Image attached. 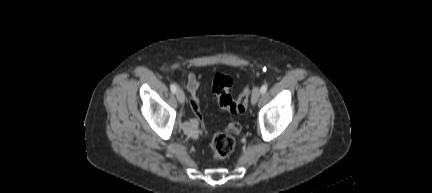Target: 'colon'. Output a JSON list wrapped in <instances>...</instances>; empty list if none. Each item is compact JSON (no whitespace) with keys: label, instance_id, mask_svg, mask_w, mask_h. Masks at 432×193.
<instances>
[{"label":"colon","instance_id":"1","mask_svg":"<svg viewBox=\"0 0 432 193\" xmlns=\"http://www.w3.org/2000/svg\"><path fill=\"white\" fill-rule=\"evenodd\" d=\"M233 80L229 75L216 74L213 79L212 92L219 105L232 114L243 113L248 105L250 89L245 88L237 97L231 93ZM211 154L216 160L227 159L234 151L235 140L225 132L214 134L211 144Z\"/></svg>","mask_w":432,"mask_h":193}]
</instances>
